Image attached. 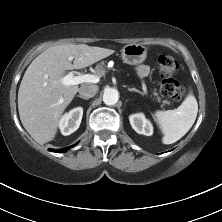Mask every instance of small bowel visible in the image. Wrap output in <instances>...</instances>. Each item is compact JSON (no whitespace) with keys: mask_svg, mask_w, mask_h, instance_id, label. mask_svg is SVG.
<instances>
[{"mask_svg":"<svg viewBox=\"0 0 222 222\" xmlns=\"http://www.w3.org/2000/svg\"><path fill=\"white\" fill-rule=\"evenodd\" d=\"M137 73H138V75L145 77V76L149 75L150 67L148 65H140L137 68Z\"/></svg>","mask_w":222,"mask_h":222,"instance_id":"1","label":"small bowel"}]
</instances>
